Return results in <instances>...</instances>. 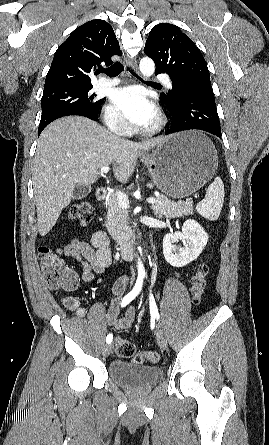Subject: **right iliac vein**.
I'll list each match as a JSON object with an SVG mask.
<instances>
[{"mask_svg": "<svg viewBox=\"0 0 269 445\" xmlns=\"http://www.w3.org/2000/svg\"><path fill=\"white\" fill-rule=\"evenodd\" d=\"M112 349H113V344L108 343L103 349V356L105 357L109 356L110 353L112 352Z\"/></svg>", "mask_w": 269, "mask_h": 445, "instance_id": "1", "label": "right iliac vein"}]
</instances>
